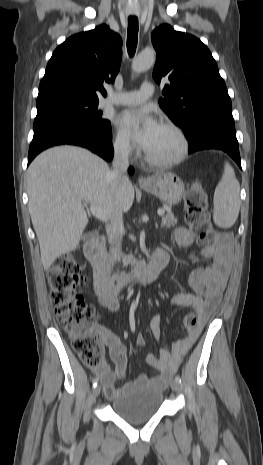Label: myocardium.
Returning <instances> with one entry per match:
<instances>
[{
  "label": "myocardium",
  "instance_id": "obj_1",
  "mask_svg": "<svg viewBox=\"0 0 263 465\" xmlns=\"http://www.w3.org/2000/svg\"><path fill=\"white\" fill-rule=\"evenodd\" d=\"M162 126L171 130L178 138L179 143H180V148H179L178 153L172 158L161 160V159L153 158L146 152L145 159L152 166L159 167V168H167V167H171L176 164H179L186 158L188 154V150H189V141H188V138L185 132L177 124L168 121V122H164Z\"/></svg>",
  "mask_w": 263,
  "mask_h": 465
}]
</instances>
